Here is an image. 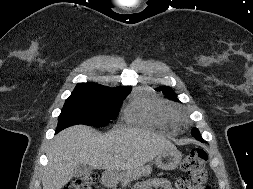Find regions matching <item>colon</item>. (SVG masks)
<instances>
[{"label":"colon","mask_w":253,"mask_h":189,"mask_svg":"<svg viewBox=\"0 0 253 189\" xmlns=\"http://www.w3.org/2000/svg\"><path fill=\"white\" fill-rule=\"evenodd\" d=\"M207 152L202 148H192L182 161L181 168L186 176L177 182L178 189H192L195 185L203 184L206 181ZM97 175L95 173L73 179L64 189H96L95 183ZM205 189H210L206 186Z\"/></svg>","instance_id":"obj_1"}]
</instances>
